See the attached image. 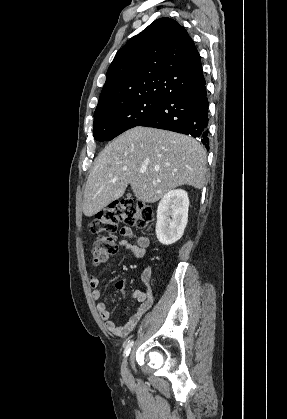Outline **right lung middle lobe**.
<instances>
[{
    "mask_svg": "<svg viewBox=\"0 0 287 419\" xmlns=\"http://www.w3.org/2000/svg\"><path fill=\"white\" fill-rule=\"evenodd\" d=\"M163 100L137 99L95 113L93 125L95 140L110 141L124 131L139 126L159 108Z\"/></svg>",
    "mask_w": 287,
    "mask_h": 419,
    "instance_id": "obj_1",
    "label": "right lung middle lobe"
}]
</instances>
